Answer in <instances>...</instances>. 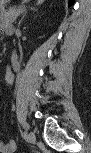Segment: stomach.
I'll return each instance as SVG.
<instances>
[{
  "label": "stomach",
  "mask_w": 91,
  "mask_h": 153,
  "mask_svg": "<svg viewBox=\"0 0 91 153\" xmlns=\"http://www.w3.org/2000/svg\"><path fill=\"white\" fill-rule=\"evenodd\" d=\"M5 2H6L5 0H1L0 1V6L2 7L5 4Z\"/></svg>",
  "instance_id": "1"
}]
</instances>
